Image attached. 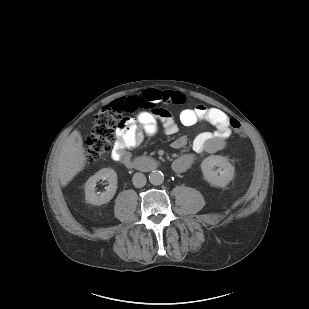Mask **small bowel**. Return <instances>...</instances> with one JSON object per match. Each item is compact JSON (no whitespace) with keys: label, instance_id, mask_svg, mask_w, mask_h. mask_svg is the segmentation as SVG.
Instances as JSON below:
<instances>
[{"label":"small bowel","instance_id":"small-bowel-1","mask_svg":"<svg viewBox=\"0 0 309 309\" xmlns=\"http://www.w3.org/2000/svg\"><path fill=\"white\" fill-rule=\"evenodd\" d=\"M130 113L135 117L129 118L128 124L118 130L111 157L114 161L128 164L130 162V150L139 146L145 137H152L158 131V123L163 126L166 134L172 135L178 132V124L169 111L159 108V103L184 104L185 97L174 91H159L149 89L130 97ZM179 120L184 126H193L199 121H206L215 127L214 131L200 132L192 142V152L184 154L175 160L173 164L176 173H183L196 160L199 155L215 153L222 150L226 140L232 134L231 120L221 110L208 108L204 105H196L183 109ZM187 144L185 136L178 137L173 142V147L181 149Z\"/></svg>","mask_w":309,"mask_h":309}]
</instances>
